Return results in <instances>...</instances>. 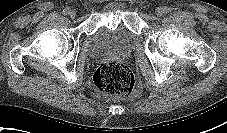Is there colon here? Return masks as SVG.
<instances>
[{"instance_id":"colon-1","label":"colon","mask_w":227,"mask_h":133,"mask_svg":"<svg viewBox=\"0 0 227 133\" xmlns=\"http://www.w3.org/2000/svg\"><path fill=\"white\" fill-rule=\"evenodd\" d=\"M94 85L99 92L110 96H128L134 88V77L130 69L121 62L102 63L94 74Z\"/></svg>"}]
</instances>
